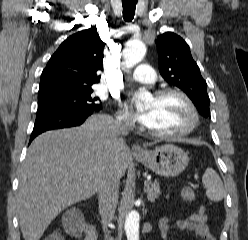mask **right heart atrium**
Wrapping results in <instances>:
<instances>
[{
  "mask_svg": "<svg viewBox=\"0 0 248 240\" xmlns=\"http://www.w3.org/2000/svg\"><path fill=\"white\" fill-rule=\"evenodd\" d=\"M116 120L125 127H131L133 125V120L127 111L121 109L116 115Z\"/></svg>",
  "mask_w": 248,
  "mask_h": 240,
  "instance_id": "right-heart-atrium-1",
  "label": "right heart atrium"
}]
</instances>
